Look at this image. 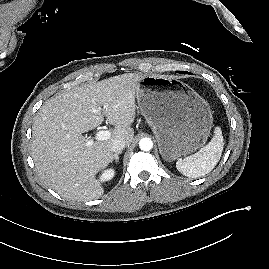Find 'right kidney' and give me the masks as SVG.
I'll return each instance as SVG.
<instances>
[{"instance_id": "1", "label": "right kidney", "mask_w": 269, "mask_h": 269, "mask_svg": "<svg viewBox=\"0 0 269 269\" xmlns=\"http://www.w3.org/2000/svg\"><path fill=\"white\" fill-rule=\"evenodd\" d=\"M114 175H115V170L114 169H112V168L107 169L102 173V175L100 177V180L103 181V182L104 181H109L114 177Z\"/></svg>"}]
</instances>
